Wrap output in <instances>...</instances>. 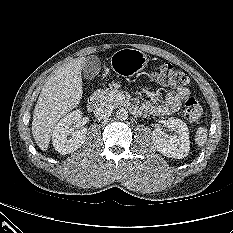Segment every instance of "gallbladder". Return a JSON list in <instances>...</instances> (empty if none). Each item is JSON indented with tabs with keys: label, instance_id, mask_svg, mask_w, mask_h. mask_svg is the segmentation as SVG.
Listing matches in <instances>:
<instances>
[{
	"label": "gallbladder",
	"instance_id": "bac80fb5",
	"mask_svg": "<svg viewBox=\"0 0 233 233\" xmlns=\"http://www.w3.org/2000/svg\"><path fill=\"white\" fill-rule=\"evenodd\" d=\"M101 70V62L97 56H88L83 65V77L92 80Z\"/></svg>",
	"mask_w": 233,
	"mask_h": 233
}]
</instances>
